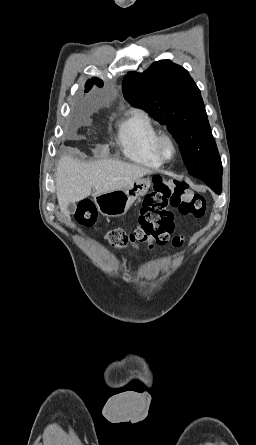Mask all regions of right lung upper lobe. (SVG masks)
<instances>
[{"label": "right lung upper lobe", "mask_w": 256, "mask_h": 445, "mask_svg": "<svg viewBox=\"0 0 256 445\" xmlns=\"http://www.w3.org/2000/svg\"><path fill=\"white\" fill-rule=\"evenodd\" d=\"M94 84L97 85L98 87H102L103 86L102 80H99L97 78L89 79L86 82L85 91L84 92L85 93L88 92L93 87Z\"/></svg>", "instance_id": "cb5924a9"}]
</instances>
